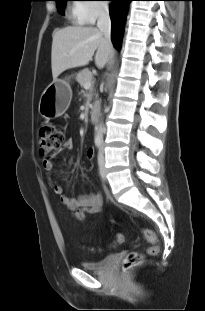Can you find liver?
<instances>
[{"label": "liver", "instance_id": "1", "mask_svg": "<svg viewBox=\"0 0 205 311\" xmlns=\"http://www.w3.org/2000/svg\"><path fill=\"white\" fill-rule=\"evenodd\" d=\"M52 37L53 79L67 69L88 65L95 51V64L99 69L109 61L112 47L96 27L68 26L55 31Z\"/></svg>", "mask_w": 205, "mask_h": 311}]
</instances>
